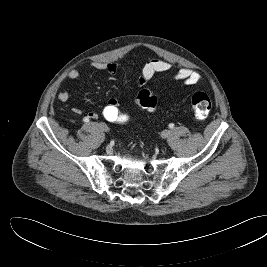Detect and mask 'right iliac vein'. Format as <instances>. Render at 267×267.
I'll use <instances>...</instances> for the list:
<instances>
[{
  "label": "right iliac vein",
  "mask_w": 267,
  "mask_h": 267,
  "mask_svg": "<svg viewBox=\"0 0 267 267\" xmlns=\"http://www.w3.org/2000/svg\"><path fill=\"white\" fill-rule=\"evenodd\" d=\"M99 126L105 132H107L109 130L108 126L106 124H104V123H101Z\"/></svg>",
  "instance_id": "obj_1"
}]
</instances>
